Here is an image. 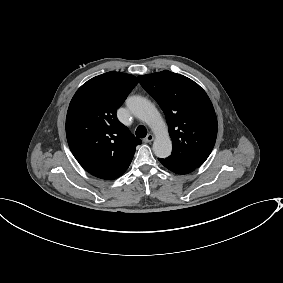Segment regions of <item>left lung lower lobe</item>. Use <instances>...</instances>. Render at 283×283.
I'll return each mask as SVG.
<instances>
[{"mask_svg":"<svg viewBox=\"0 0 283 283\" xmlns=\"http://www.w3.org/2000/svg\"><path fill=\"white\" fill-rule=\"evenodd\" d=\"M159 161L169 170H171L174 173L177 174H187L190 173L192 171H194L196 168L186 165V164H182V163H178L169 159H159Z\"/></svg>","mask_w":283,"mask_h":283,"instance_id":"1","label":"left lung lower lobe"}]
</instances>
